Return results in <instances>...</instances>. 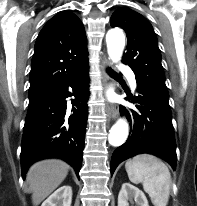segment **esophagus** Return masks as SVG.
Returning a JSON list of instances; mask_svg holds the SVG:
<instances>
[{
	"label": "esophagus",
	"instance_id": "obj_1",
	"mask_svg": "<svg viewBox=\"0 0 197 206\" xmlns=\"http://www.w3.org/2000/svg\"><path fill=\"white\" fill-rule=\"evenodd\" d=\"M110 65H111V62L106 57L103 58L100 68L103 74V84H104L105 90H107L108 84H109L110 77L107 73V69ZM107 114H108V117L112 120H115L118 117L119 112H118L117 105L115 103L113 102L108 103Z\"/></svg>",
	"mask_w": 197,
	"mask_h": 206
}]
</instances>
